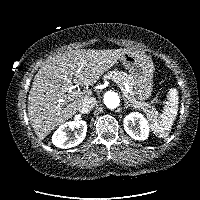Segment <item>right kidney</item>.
Here are the masks:
<instances>
[{
	"mask_svg": "<svg viewBox=\"0 0 200 200\" xmlns=\"http://www.w3.org/2000/svg\"><path fill=\"white\" fill-rule=\"evenodd\" d=\"M74 135H69L73 131ZM87 123L83 120L69 121L62 124L53 134L52 143L62 149H67L79 145L85 138Z\"/></svg>",
	"mask_w": 200,
	"mask_h": 200,
	"instance_id": "ca27d5eb",
	"label": "right kidney"
}]
</instances>
